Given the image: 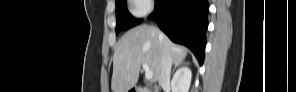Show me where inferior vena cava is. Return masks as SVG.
Here are the masks:
<instances>
[{"label": "inferior vena cava", "mask_w": 296, "mask_h": 92, "mask_svg": "<svg viewBox=\"0 0 296 92\" xmlns=\"http://www.w3.org/2000/svg\"><path fill=\"white\" fill-rule=\"evenodd\" d=\"M171 68L172 59L167 51H165L161 59V73L158 79L159 86L164 87L170 83Z\"/></svg>", "instance_id": "inferior-vena-cava-1"}]
</instances>
